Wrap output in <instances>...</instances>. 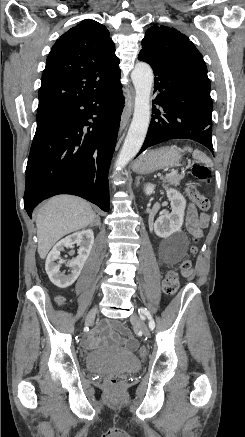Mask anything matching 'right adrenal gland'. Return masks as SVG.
<instances>
[{
	"label": "right adrenal gland",
	"instance_id": "2a0ac1e0",
	"mask_svg": "<svg viewBox=\"0 0 245 437\" xmlns=\"http://www.w3.org/2000/svg\"><path fill=\"white\" fill-rule=\"evenodd\" d=\"M95 225L101 226L100 217L98 215L96 216L95 221L92 224H90L91 227Z\"/></svg>",
	"mask_w": 245,
	"mask_h": 437
}]
</instances>
